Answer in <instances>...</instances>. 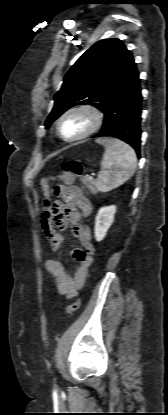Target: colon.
Here are the masks:
<instances>
[{
    "label": "colon",
    "instance_id": "1",
    "mask_svg": "<svg viewBox=\"0 0 168 415\" xmlns=\"http://www.w3.org/2000/svg\"><path fill=\"white\" fill-rule=\"evenodd\" d=\"M75 179L82 180V187L84 189L92 190L93 195L99 194L98 188H92V182L85 178V174L83 171L82 166L77 161H67L63 164V172L58 175L50 176L43 178L41 181L42 189L45 195L44 205L45 210L42 215V220L45 222L52 220L54 213L52 212V204H50L48 200V196L50 195L51 189L49 186V181H63L67 185H70L74 182ZM57 225V224H56ZM81 305V300L77 299L70 305L66 307V313L71 314L79 309Z\"/></svg>",
    "mask_w": 168,
    "mask_h": 415
}]
</instances>
